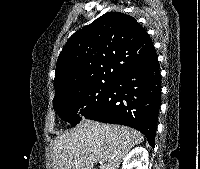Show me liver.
I'll list each match as a JSON object with an SVG mask.
<instances>
[{
    "label": "liver",
    "instance_id": "1",
    "mask_svg": "<svg viewBox=\"0 0 200 169\" xmlns=\"http://www.w3.org/2000/svg\"><path fill=\"white\" fill-rule=\"evenodd\" d=\"M144 136L126 126L83 121L58 135L52 145V169H118L126 154Z\"/></svg>",
    "mask_w": 200,
    "mask_h": 169
}]
</instances>
